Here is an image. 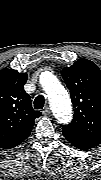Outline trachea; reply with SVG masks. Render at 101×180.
I'll list each match as a JSON object with an SVG mask.
<instances>
[{
  "label": "trachea",
  "instance_id": "1",
  "mask_svg": "<svg viewBox=\"0 0 101 180\" xmlns=\"http://www.w3.org/2000/svg\"><path fill=\"white\" fill-rule=\"evenodd\" d=\"M45 104V98L43 95H39L34 100V108L35 109H42Z\"/></svg>",
  "mask_w": 101,
  "mask_h": 180
}]
</instances>
